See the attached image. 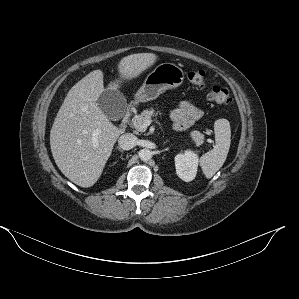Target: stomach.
<instances>
[{"label": "stomach", "instance_id": "stomach-1", "mask_svg": "<svg viewBox=\"0 0 299 299\" xmlns=\"http://www.w3.org/2000/svg\"><path fill=\"white\" fill-rule=\"evenodd\" d=\"M184 80L183 70L174 63H162L149 73L135 94V104L156 99L167 89L179 87Z\"/></svg>", "mask_w": 299, "mask_h": 299}]
</instances>
